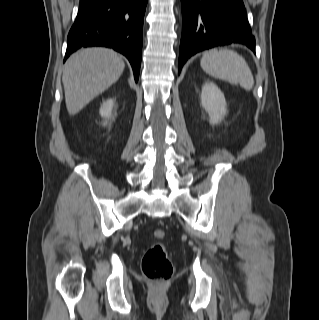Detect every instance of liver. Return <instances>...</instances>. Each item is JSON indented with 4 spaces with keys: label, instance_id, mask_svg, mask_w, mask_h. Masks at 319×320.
Wrapping results in <instances>:
<instances>
[{
    "label": "liver",
    "instance_id": "6515ba94",
    "mask_svg": "<svg viewBox=\"0 0 319 320\" xmlns=\"http://www.w3.org/2000/svg\"><path fill=\"white\" fill-rule=\"evenodd\" d=\"M125 64L108 48H85L65 63L63 85L69 115H76L122 75Z\"/></svg>",
    "mask_w": 319,
    "mask_h": 320
}]
</instances>
